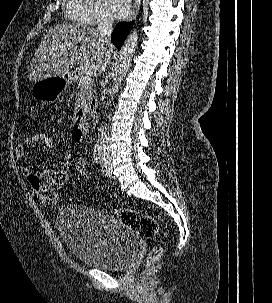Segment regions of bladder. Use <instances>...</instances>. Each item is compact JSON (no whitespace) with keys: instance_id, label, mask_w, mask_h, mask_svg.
<instances>
[{"instance_id":"1","label":"bladder","mask_w":272,"mask_h":303,"mask_svg":"<svg viewBox=\"0 0 272 303\" xmlns=\"http://www.w3.org/2000/svg\"><path fill=\"white\" fill-rule=\"evenodd\" d=\"M58 232L81 263L102 269L128 266L139 251L135 231L105 211L81 204H67L57 216Z\"/></svg>"}]
</instances>
